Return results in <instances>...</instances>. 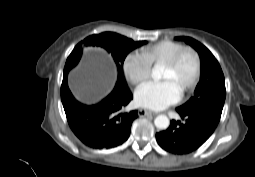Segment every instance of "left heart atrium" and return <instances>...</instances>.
<instances>
[{
    "instance_id": "1",
    "label": "left heart atrium",
    "mask_w": 255,
    "mask_h": 177,
    "mask_svg": "<svg viewBox=\"0 0 255 177\" xmlns=\"http://www.w3.org/2000/svg\"><path fill=\"white\" fill-rule=\"evenodd\" d=\"M180 98V91L169 80L150 81L141 85L135 94L138 105L153 109L162 110L175 104Z\"/></svg>"
}]
</instances>
